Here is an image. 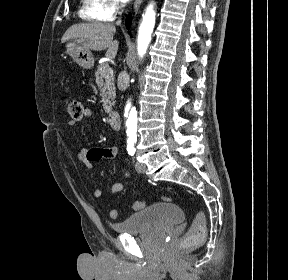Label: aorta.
<instances>
[{
	"label": "aorta",
	"mask_w": 288,
	"mask_h": 280,
	"mask_svg": "<svg viewBox=\"0 0 288 280\" xmlns=\"http://www.w3.org/2000/svg\"><path fill=\"white\" fill-rule=\"evenodd\" d=\"M156 13L154 10V4H150L145 14L143 15L142 23L138 31V41H137V51L139 57H143L147 51L148 45L151 41V36L155 26ZM124 120H134V121H123V126H125V136L126 140H137L138 136V126H136V121L138 120L137 106H131L128 103L124 106L123 111Z\"/></svg>",
	"instance_id": "762f6f07"
}]
</instances>
